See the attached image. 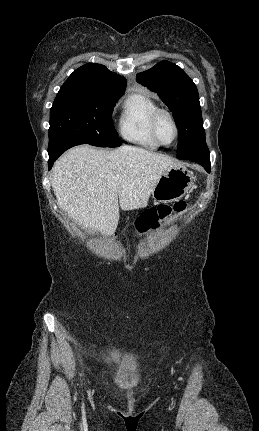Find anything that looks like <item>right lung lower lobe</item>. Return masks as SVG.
Wrapping results in <instances>:
<instances>
[{
  "label": "right lung lower lobe",
  "mask_w": 259,
  "mask_h": 431,
  "mask_svg": "<svg viewBox=\"0 0 259 431\" xmlns=\"http://www.w3.org/2000/svg\"><path fill=\"white\" fill-rule=\"evenodd\" d=\"M76 146L72 143H64L59 146H56L54 148L48 149L49 153V161H48V168L51 169L53 163L56 161V159L64 153L67 149Z\"/></svg>",
  "instance_id": "right-lung-lower-lobe-1"
}]
</instances>
